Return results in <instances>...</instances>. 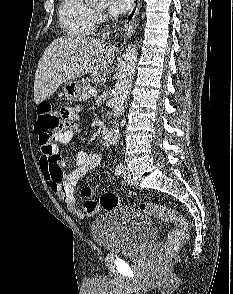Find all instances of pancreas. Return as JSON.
I'll list each match as a JSON object with an SVG mask.
<instances>
[{
  "label": "pancreas",
  "mask_w": 233,
  "mask_h": 294,
  "mask_svg": "<svg viewBox=\"0 0 233 294\" xmlns=\"http://www.w3.org/2000/svg\"><path fill=\"white\" fill-rule=\"evenodd\" d=\"M93 89L92 86V80H86L83 85H82V91H81V99L82 100H87L88 98L91 97V95L89 94V90Z\"/></svg>",
  "instance_id": "cf45deb5"
}]
</instances>
